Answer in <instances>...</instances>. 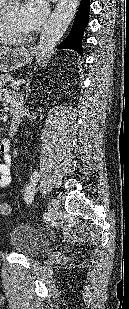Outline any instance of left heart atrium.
<instances>
[{
	"instance_id": "left-heart-atrium-1",
	"label": "left heart atrium",
	"mask_w": 129,
	"mask_h": 309,
	"mask_svg": "<svg viewBox=\"0 0 129 309\" xmlns=\"http://www.w3.org/2000/svg\"><path fill=\"white\" fill-rule=\"evenodd\" d=\"M33 1V0H32ZM26 21L30 26H34L41 19L39 8L30 3L25 10Z\"/></svg>"
}]
</instances>
